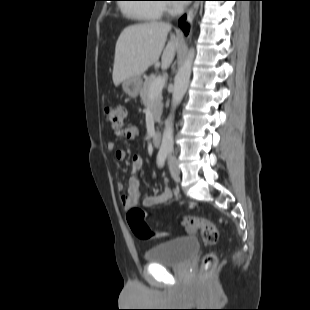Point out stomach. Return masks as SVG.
<instances>
[{"label":"stomach","instance_id":"stomach-1","mask_svg":"<svg viewBox=\"0 0 310 310\" xmlns=\"http://www.w3.org/2000/svg\"><path fill=\"white\" fill-rule=\"evenodd\" d=\"M121 83L123 91L132 98L137 97L142 87V79L140 77L127 78Z\"/></svg>","mask_w":310,"mask_h":310}]
</instances>
